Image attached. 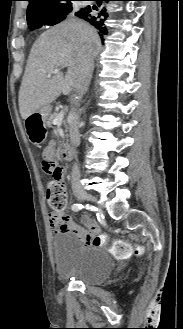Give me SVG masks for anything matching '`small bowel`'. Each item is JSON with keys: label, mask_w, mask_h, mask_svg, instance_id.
<instances>
[{"label": "small bowel", "mask_w": 183, "mask_h": 329, "mask_svg": "<svg viewBox=\"0 0 183 329\" xmlns=\"http://www.w3.org/2000/svg\"><path fill=\"white\" fill-rule=\"evenodd\" d=\"M45 156H51L53 159L56 158V143L54 141H50L44 149L43 157ZM48 221L55 233H75L84 245H95L93 244V238L100 231L98 224L87 216L82 218V222L89 228L91 235L87 233L83 228L77 226L71 217L66 214L57 215L51 212L48 215Z\"/></svg>", "instance_id": "c3829d8e"}]
</instances>
